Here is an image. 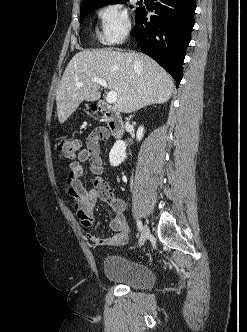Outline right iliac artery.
Instances as JSON below:
<instances>
[{"mask_svg": "<svg viewBox=\"0 0 247 332\" xmlns=\"http://www.w3.org/2000/svg\"><path fill=\"white\" fill-rule=\"evenodd\" d=\"M137 227H138L139 232H141L142 231V222L140 220H137Z\"/></svg>", "mask_w": 247, "mask_h": 332, "instance_id": "1", "label": "right iliac artery"}]
</instances>
